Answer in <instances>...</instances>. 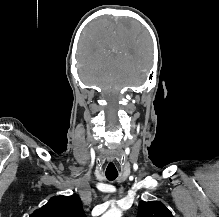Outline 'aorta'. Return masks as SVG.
Wrapping results in <instances>:
<instances>
[{"label":"aorta","instance_id":"762f6f07","mask_svg":"<svg viewBox=\"0 0 219 217\" xmlns=\"http://www.w3.org/2000/svg\"><path fill=\"white\" fill-rule=\"evenodd\" d=\"M102 217H122V212L119 209H110Z\"/></svg>","mask_w":219,"mask_h":217}]
</instances>
